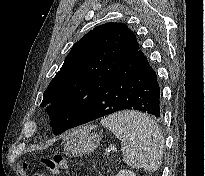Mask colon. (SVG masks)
Segmentation results:
<instances>
[{"mask_svg":"<svg viewBox=\"0 0 205 176\" xmlns=\"http://www.w3.org/2000/svg\"><path fill=\"white\" fill-rule=\"evenodd\" d=\"M66 166L64 158L55 155L49 159H43L39 166L33 167V176H56V174Z\"/></svg>","mask_w":205,"mask_h":176,"instance_id":"colon-1","label":"colon"}]
</instances>
